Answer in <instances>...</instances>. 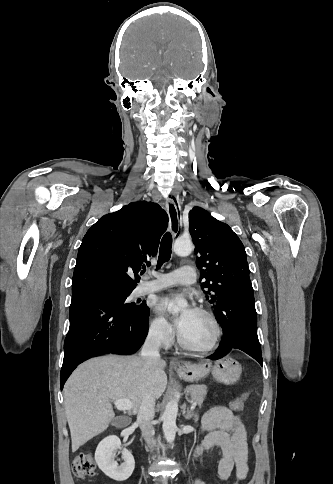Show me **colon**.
<instances>
[{
    "instance_id": "colon-1",
    "label": "colon",
    "mask_w": 333,
    "mask_h": 484,
    "mask_svg": "<svg viewBox=\"0 0 333 484\" xmlns=\"http://www.w3.org/2000/svg\"><path fill=\"white\" fill-rule=\"evenodd\" d=\"M248 397L249 393H244L232 400L227 407L235 412L241 411L244 408V404ZM72 470L74 475L81 479L95 475L96 462L93 455L90 453L78 454L73 460Z\"/></svg>"
}]
</instances>
